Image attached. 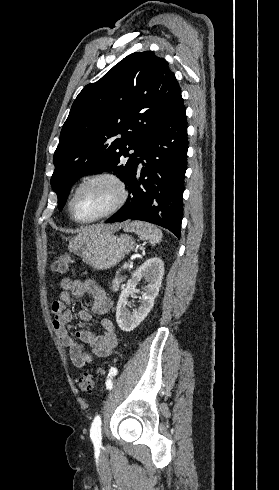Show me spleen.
Instances as JSON below:
<instances>
[{
	"label": "spleen",
	"instance_id": "obj_1",
	"mask_svg": "<svg viewBox=\"0 0 279 490\" xmlns=\"http://www.w3.org/2000/svg\"><path fill=\"white\" fill-rule=\"evenodd\" d=\"M125 232H135L140 240H148L153 246L159 244L162 238L161 230H158L153 224H147V222H130V224H126ZM158 232L159 236H157Z\"/></svg>",
	"mask_w": 279,
	"mask_h": 490
}]
</instances>
